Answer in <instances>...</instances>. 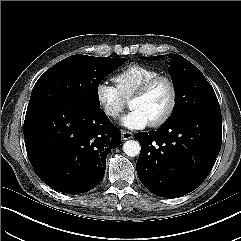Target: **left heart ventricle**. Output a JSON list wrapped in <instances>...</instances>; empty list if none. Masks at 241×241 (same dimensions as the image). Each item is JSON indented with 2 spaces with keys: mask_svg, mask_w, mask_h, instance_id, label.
<instances>
[{
  "mask_svg": "<svg viewBox=\"0 0 241 241\" xmlns=\"http://www.w3.org/2000/svg\"><path fill=\"white\" fill-rule=\"evenodd\" d=\"M171 91L166 82L156 84L145 96L129 101L131 109L138 110L151 122L159 118L170 103Z\"/></svg>",
  "mask_w": 241,
  "mask_h": 241,
  "instance_id": "1",
  "label": "left heart ventricle"
}]
</instances>
